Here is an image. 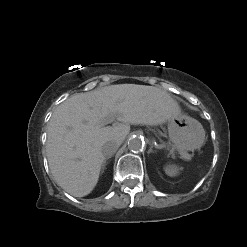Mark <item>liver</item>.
<instances>
[{"label": "liver", "mask_w": 247, "mask_h": 247, "mask_svg": "<svg viewBox=\"0 0 247 247\" xmlns=\"http://www.w3.org/2000/svg\"><path fill=\"white\" fill-rule=\"evenodd\" d=\"M178 110L169 93L154 86L118 84L71 96L48 124L46 152L54 180L75 197L88 195L98 182L106 142L121 144L131 124H163ZM114 119L118 122L105 127Z\"/></svg>", "instance_id": "liver-1"}]
</instances>
